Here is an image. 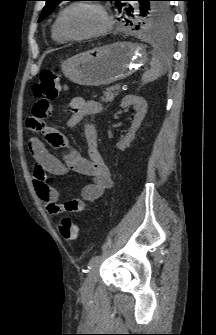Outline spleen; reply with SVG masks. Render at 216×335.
Here are the masks:
<instances>
[{
	"instance_id": "spleen-1",
	"label": "spleen",
	"mask_w": 216,
	"mask_h": 335,
	"mask_svg": "<svg viewBox=\"0 0 216 335\" xmlns=\"http://www.w3.org/2000/svg\"><path fill=\"white\" fill-rule=\"evenodd\" d=\"M169 65L170 64L167 61L163 52L156 45H154V50L152 52V59L150 62V70L146 71L143 74L142 76L143 83H148L159 78L167 71Z\"/></svg>"
}]
</instances>
